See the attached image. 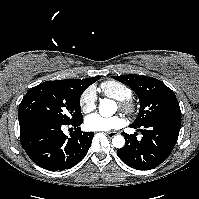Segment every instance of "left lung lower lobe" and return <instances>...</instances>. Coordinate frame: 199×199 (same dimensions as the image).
Here are the masks:
<instances>
[{"instance_id":"obj_1","label":"left lung lower lobe","mask_w":199,"mask_h":199,"mask_svg":"<svg viewBox=\"0 0 199 199\" xmlns=\"http://www.w3.org/2000/svg\"><path fill=\"white\" fill-rule=\"evenodd\" d=\"M181 125V113H169L155 118L143 126H130L141 131L137 140L133 134L122 133L125 146L117 155L128 166L138 170H150L161 164L174 148Z\"/></svg>"}]
</instances>
